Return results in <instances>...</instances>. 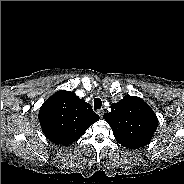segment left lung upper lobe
I'll return each mask as SVG.
<instances>
[{
	"mask_svg": "<svg viewBox=\"0 0 184 184\" xmlns=\"http://www.w3.org/2000/svg\"><path fill=\"white\" fill-rule=\"evenodd\" d=\"M103 118L113 130L117 142L128 149H138L150 143L158 119L149 105L139 97L126 95L111 104V112Z\"/></svg>",
	"mask_w": 184,
	"mask_h": 184,
	"instance_id": "5c2ea615",
	"label": "left lung upper lobe"
}]
</instances>
